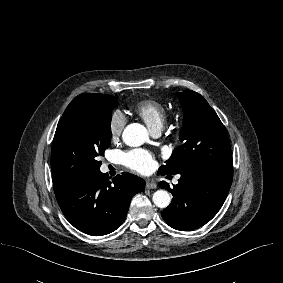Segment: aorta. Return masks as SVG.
Returning <instances> with one entry per match:
<instances>
[{
	"instance_id": "obj_1",
	"label": "aorta",
	"mask_w": 283,
	"mask_h": 283,
	"mask_svg": "<svg viewBox=\"0 0 283 283\" xmlns=\"http://www.w3.org/2000/svg\"><path fill=\"white\" fill-rule=\"evenodd\" d=\"M122 138L128 146L137 147L145 143L148 133L143 125L132 123L124 129ZM153 202L159 208H166L171 202V197L166 190H157L153 194Z\"/></svg>"
}]
</instances>
